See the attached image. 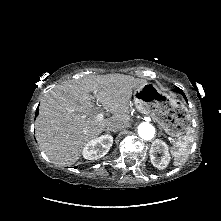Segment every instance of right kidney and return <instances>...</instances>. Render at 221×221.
<instances>
[{
  "mask_svg": "<svg viewBox=\"0 0 221 221\" xmlns=\"http://www.w3.org/2000/svg\"><path fill=\"white\" fill-rule=\"evenodd\" d=\"M113 144L111 135H102L89 141L83 148L82 155L87 160H96L105 156Z\"/></svg>",
  "mask_w": 221,
  "mask_h": 221,
  "instance_id": "obj_1",
  "label": "right kidney"
}]
</instances>
